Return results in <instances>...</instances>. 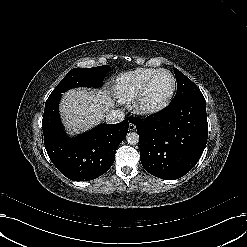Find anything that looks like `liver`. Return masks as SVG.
Segmentation results:
<instances>
[{"label": "liver", "instance_id": "obj_1", "mask_svg": "<svg viewBox=\"0 0 247 247\" xmlns=\"http://www.w3.org/2000/svg\"><path fill=\"white\" fill-rule=\"evenodd\" d=\"M114 105L108 90L82 88L66 92L59 110L65 127L79 133L98 125Z\"/></svg>", "mask_w": 247, "mask_h": 247}]
</instances>
